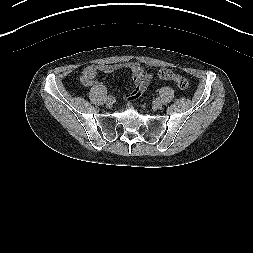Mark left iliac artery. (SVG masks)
Masks as SVG:
<instances>
[{
    "mask_svg": "<svg viewBox=\"0 0 253 253\" xmlns=\"http://www.w3.org/2000/svg\"><path fill=\"white\" fill-rule=\"evenodd\" d=\"M153 101H154L155 103H160V102L162 101V98H161L160 96H155V97L153 98Z\"/></svg>",
    "mask_w": 253,
    "mask_h": 253,
    "instance_id": "obj_1",
    "label": "left iliac artery"
}]
</instances>
